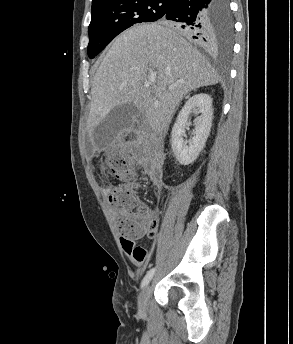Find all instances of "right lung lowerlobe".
Here are the masks:
<instances>
[{
  "label": "right lung lower lobe",
  "mask_w": 293,
  "mask_h": 344,
  "mask_svg": "<svg viewBox=\"0 0 293 344\" xmlns=\"http://www.w3.org/2000/svg\"><path fill=\"white\" fill-rule=\"evenodd\" d=\"M217 0H170L162 20L173 25L198 45L210 49L215 44L213 16Z\"/></svg>",
  "instance_id": "1"
}]
</instances>
